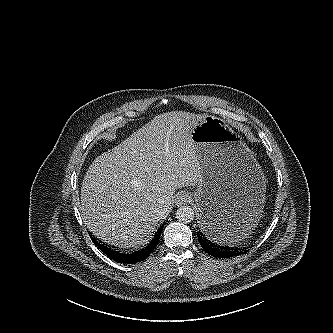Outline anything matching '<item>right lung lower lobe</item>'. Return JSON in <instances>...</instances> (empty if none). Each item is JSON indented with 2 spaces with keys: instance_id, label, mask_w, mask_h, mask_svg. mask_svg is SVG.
Returning a JSON list of instances; mask_svg holds the SVG:
<instances>
[{
  "instance_id": "right-lung-lower-lobe-1",
  "label": "right lung lower lobe",
  "mask_w": 333,
  "mask_h": 333,
  "mask_svg": "<svg viewBox=\"0 0 333 333\" xmlns=\"http://www.w3.org/2000/svg\"><path fill=\"white\" fill-rule=\"evenodd\" d=\"M163 226L160 227V229L157 231L156 235L152 239V241L148 244L147 247L142 249L141 251L131 253V254H124L117 252L115 250H112L110 248L104 247L103 245L99 244L97 241H95L92 237L93 243L101 250L103 251L110 259H113L114 261L118 263H126V264H133L140 262L148 257V255L153 251V249L157 246L159 242L160 235L163 230Z\"/></svg>"
}]
</instances>
